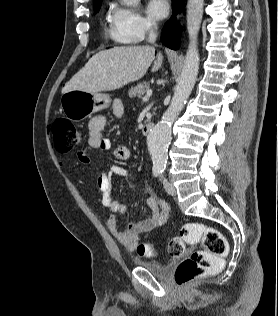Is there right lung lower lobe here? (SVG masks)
Wrapping results in <instances>:
<instances>
[{"label":"right lung lower lobe","instance_id":"1","mask_svg":"<svg viewBox=\"0 0 278 316\" xmlns=\"http://www.w3.org/2000/svg\"><path fill=\"white\" fill-rule=\"evenodd\" d=\"M182 2L183 0H173L174 14H176L177 11H180V3ZM161 40L165 46L171 49H177L179 47L180 26L176 23L174 16L167 22L163 29Z\"/></svg>","mask_w":278,"mask_h":316}]
</instances>
